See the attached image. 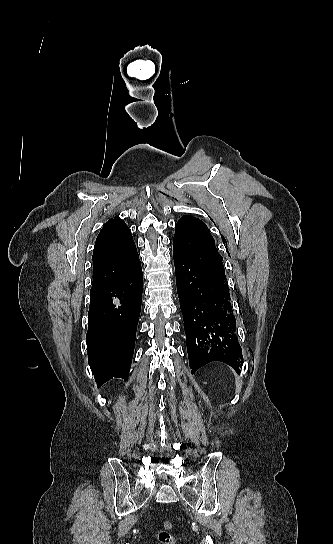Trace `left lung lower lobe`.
Returning <instances> with one entry per match:
<instances>
[{"mask_svg":"<svg viewBox=\"0 0 333 544\" xmlns=\"http://www.w3.org/2000/svg\"><path fill=\"white\" fill-rule=\"evenodd\" d=\"M173 256L192 373L215 360L237 370L243 355L226 279L181 252Z\"/></svg>","mask_w":333,"mask_h":544,"instance_id":"0a47b994","label":"left lung lower lobe"}]
</instances>
